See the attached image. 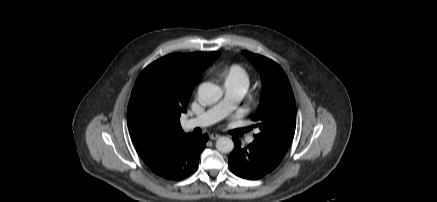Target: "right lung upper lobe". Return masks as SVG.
Listing matches in <instances>:
<instances>
[{"mask_svg":"<svg viewBox=\"0 0 437 202\" xmlns=\"http://www.w3.org/2000/svg\"><path fill=\"white\" fill-rule=\"evenodd\" d=\"M219 55V52L169 54L148 66L167 69L162 90L167 113L160 118H149L127 110V122L132 142L149 166L186 135L180 125V116L186 112L191 92L200 75Z\"/></svg>","mask_w":437,"mask_h":202,"instance_id":"right-lung-upper-lobe-1","label":"right lung upper lobe"}]
</instances>
